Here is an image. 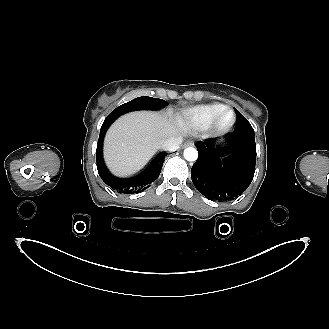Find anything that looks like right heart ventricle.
Returning <instances> with one entry per match:
<instances>
[{"mask_svg": "<svg viewBox=\"0 0 329 329\" xmlns=\"http://www.w3.org/2000/svg\"><path fill=\"white\" fill-rule=\"evenodd\" d=\"M224 107V104L198 105L181 111L176 119L188 129H205Z\"/></svg>", "mask_w": 329, "mask_h": 329, "instance_id": "e07e8e85", "label": "right heart ventricle"}]
</instances>
